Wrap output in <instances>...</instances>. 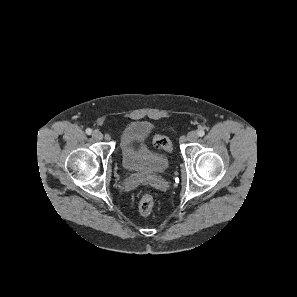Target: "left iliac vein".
I'll return each mask as SVG.
<instances>
[{
    "label": "left iliac vein",
    "mask_w": 297,
    "mask_h": 297,
    "mask_svg": "<svg viewBox=\"0 0 297 297\" xmlns=\"http://www.w3.org/2000/svg\"><path fill=\"white\" fill-rule=\"evenodd\" d=\"M198 138V134L196 131H190L188 134H187V140L190 141V142H195Z\"/></svg>",
    "instance_id": "left-iliac-vein-1"
}]
</instances>
